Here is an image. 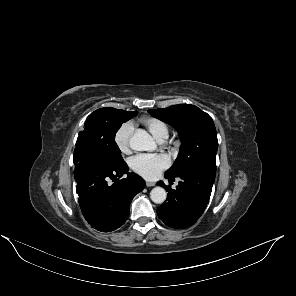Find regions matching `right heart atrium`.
<instances>
[{
	"instance_id": "obj_1",
	"label": "right heart atrium",
	"mask_w": 296,
	"mask_h": 296,
	"mask_svg": "<svg viewBox=\"0 0 296 296\" xmlns=\"http://www.w3.org/2000/svg\"><path fill=\"white\" fill-rule=\"evenodd\" d=\"M133 127L129 123L122 124L114 135V143L117 149L123 153H129L131 150V137H132Z\"/></svg>"
}]
</instances>
